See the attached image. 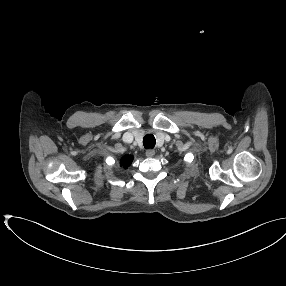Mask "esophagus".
Here are the masks:
<instances>
[{"mask_svg": "<svg viewBox=\"0 0 286 286\" xmlns=\"http://www.w3.org/2000/svg\"><path fill=\"white\" fill-rule=\"evenodd\" d=\"M155 155V150H153V149H148L147 151H146V156L147 157H153Z\"/></svg>", "mask_w": 286, "mask_h": 286, "instance_id": "34e87169", "label": "esophagus"}]
</instances>
